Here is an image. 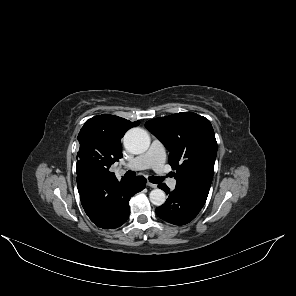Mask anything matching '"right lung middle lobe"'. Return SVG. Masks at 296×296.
Masks as SVG:
<instances>
[{
	"label": "right lung middle lobe",
	"instance_id": "obj_1",
	"mask_svg": "<svg viewBox=\"0 0 296 296\" xmlns=\"http://www.w3.org/2000/svg\"><path fill=\"white\" fill-rule=\"evenodd\" d=\"M77 159L88 163L101 176H110L112 174L109 171L112 162L108 156L93 146L80 147Z\"/></svg>",
	"mask_w": 296,
	"mask_h": 296
}]
</instances>
